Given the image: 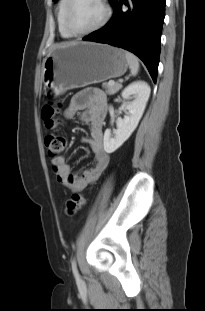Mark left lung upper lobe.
Listing matches in <instances>:
<instances>
[{"instance_id": "obj_1", "label": "left lung upper lobe", "mask_w": 205, "mask_h": 311, "mask_svg": "<svg viewBox=\"0 0 205 311\" xmlns=\"http://www.w3.org/2000/svg\"><path fill=\"white\" fill-rule=\"evenodd\" d=\"M53 1H55V0H53ZM113 2H114V0H110V3H111V4H113Z\"/></svg>"}]
</instances>
